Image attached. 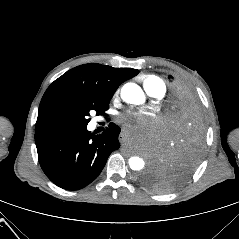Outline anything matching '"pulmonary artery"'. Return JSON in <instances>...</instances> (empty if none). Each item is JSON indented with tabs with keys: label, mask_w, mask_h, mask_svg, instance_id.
<instances>
[{
	"label": "pulmonary artery",
	"mask_w": 239,
	"mask_h": 239,
	"mask_svg": "<svg viewBox=\"0 0 239 239\" xmlns=\"http://www.w3.org/2000/svg\"><path fill=\"white\" fill-rule=\"evenodd\" d=\"M147 92L152 97L161 98L165 94V85L163 83L159 84L158 86H156L155 88H153Z\"/></svg>",
	"instance_id": "obj_1"
}]
</instances>
